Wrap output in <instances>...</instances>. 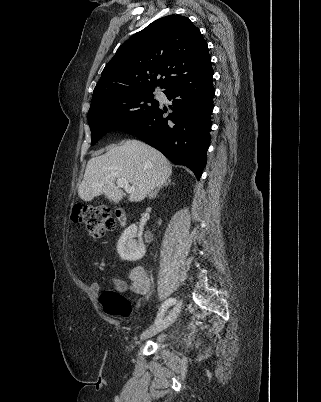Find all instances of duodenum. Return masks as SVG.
<instances>
[{
  "label": "duodenum",
  "mask_w": 321,
  "mask_h": 402,
  "mask_svg": "<svg viewBox=\"0 0 321 402\" xmlns=\"http://www.w3.org/2000/svg\"><path fill=\"white\" fill-rule=\"evenodd\" d=\"M115 215H116V218L118 219V221L120 222V224L122 226H124L127 221V216H126L125 211H117Z\"/></svg>",
  "instance_id": "1"
}]
</instances>
